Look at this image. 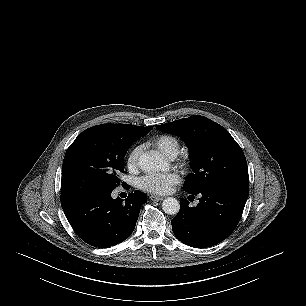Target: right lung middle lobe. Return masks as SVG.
Segmentation results:
<instances>
[{"mask_svg": "<svg viewBox=\"0 0 306 306\" xmlns=\"http://www.w3.org/2000/svg\"><path fill=\"white\" fill-rule=\"evenodd\" d=\"M142 135L122 134L106 127L86 129L67 149L61 181V203L82 195L114 190L124 173L129 146Z\"/></svg>", "mask_w": 306, "mask_h": 306, "instance_id": "right-lung-middle-lobe-1", "label": "right lung middle lobe"}]
</instances>
